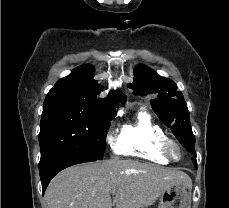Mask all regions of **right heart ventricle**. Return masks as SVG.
<instances>
[{"label":"right heart ventricle","mask_w":229,"mask_h":208,"mask_svg":"<svg viewBox=\"0 0 229 208\" xmlns=\"http://www.w3.org/2000/svg\"><path fill=\"white\" fill-rule=\"evenodd\" d=\"M168 138L164 129L155 123L148 113L139 111L132 122L125 124L118 134L113 148L117 154L137 158L146 162L167 165L162 144ZM164 152L160 153L159 149Z\"/></svg>","instance_id":"obj_1"}]
</instances>
